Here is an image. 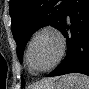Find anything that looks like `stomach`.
<instances>
[{"label":"stomach","mask_w":89,"mask_h":89,"mask_svg":"<svg viewBox=\"0 0 89 89\" xmlns=\"http://www.w3.org/2000/svg\"><path fill=\"white\" fill-rule=\"evenodd\" d=\"M46 89H68V88L67 85L60 80L58 82L53 83Z\"/></svg>","instance_id":"stomach-1"}]
</instances>
